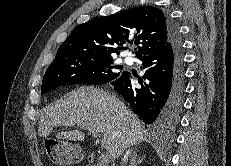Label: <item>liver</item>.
Wrapping results in <instances>:
<instances>
[{"instance_id": "6515ba94", "label": "liver", "mask_w": 231, "mask_h": 166, "mask_svg": "<svg viewBox=\"0 0 231 166\" xmlns=\"http://www.w3.org/2000/svg\"><path fill=\"white\" fill-rule=\"evenodd\" d=\"M75 124L89 133H102L101 144L114 159H118L127 148L145 141L148 136L138 116L118 98L97 87L72 90L65 99L43 109L38 135L47 138L53 128ZM56 137L80 141L85 134L78 130L62 131Z\"/></svg>"}]
</instances>
